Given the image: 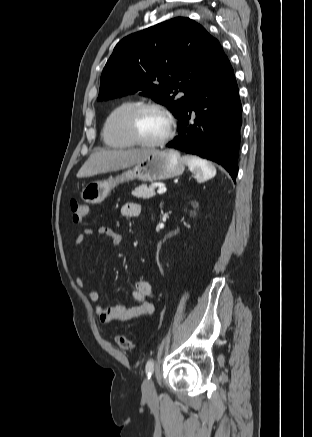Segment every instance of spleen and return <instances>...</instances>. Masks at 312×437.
<instances>
[{
  "instance_id": "obj_1",
  "label": "spleen",
  "mask_w": 312,
  "mask_h": 437,
  "mask_svg": "<svg viewBox=\"0 0 312 437\" xmlns=\"http://www.w3.org/2000/svg\"><path fill=\"white\" fill-rule=\"evenodd\" d=\"M182 160L186 163L191 172L196 176L198 182H204L216 175L215 167L208 161L197 156H183Z\"/></svg>"
}]
</instances>
